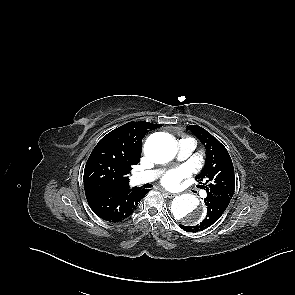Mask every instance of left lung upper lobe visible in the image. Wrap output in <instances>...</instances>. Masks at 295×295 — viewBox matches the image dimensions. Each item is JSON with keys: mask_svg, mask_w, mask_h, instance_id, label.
I'll return each instance as SVG.
<instances>
[{"mask_svg": "<svg viewBox=\"0 0 295 295\" xmlns=\"http://www.w3.org/2000/svg\"><path fill=\"white\" fill-rule=\"evenodd\" d=\"M202 142L206 149V161L197 176L200 188L207 192L206 198L230 201L235 189L234 167L226 148L208 131L198 125L187 127Z\"/></svg>", "mask_w": 295, "mask_h": 295, "instance_id": "left-lung-upper-lobe-1", "label": "left lung upper lobe"}]
</instances>
